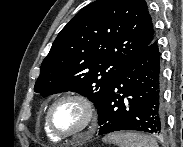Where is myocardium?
Segmentation results:
<instances>
[{"label": "myocardium", "instance_id": "f54148a6", "mask_svg": "<svg viewBox=\"0 0 183 147\" xmlns=\"http://www.w3.org/2000/svg\"><path fill=\"white\" fill-rule=\"evenodd\" d=\"M65 100H73L78 102L85 110L86 112V120L84 125L74 131V132H70V133H60L57 132L53 125H52V121H51V113L52 110L54 109V107L59 104L62 101ZM97 121V112H96V108L94 106V103L85 95L83 94H79V93H66L63 94L61 96H59L57 99H55L50 106L47 109L46 112V116H45V123L46 126L48 128V130L58 139H67V138H71V137H75L78 136L80 134H82L83 132H85L86 130L90 129Z\"/></svg>", "mask_w": 183, "mask_h": 147}]
</instances>
